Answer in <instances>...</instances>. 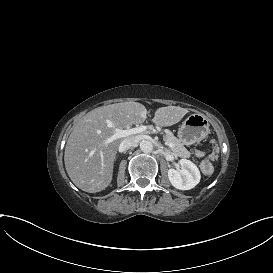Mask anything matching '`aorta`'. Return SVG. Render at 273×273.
I'll list each match as a JSON object with an SVG mask.
<instances>
[{"instance_id": "obj_1", "label": "aorta", "mask_w": 273, "mask_h": 273, "mask_svg": "<svg viewBox=\"0 0 273 273\" xmlns=\"http://www.w3.org/2000/svg\"><path fill=\"white\" fill-rule=\"evenodd\" d=\"M140 149L144 153H151L153 151V144L148 140H142L140 142Z\"/></svg>"}]
</instances>
